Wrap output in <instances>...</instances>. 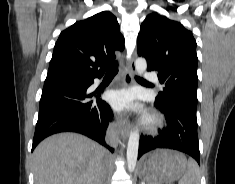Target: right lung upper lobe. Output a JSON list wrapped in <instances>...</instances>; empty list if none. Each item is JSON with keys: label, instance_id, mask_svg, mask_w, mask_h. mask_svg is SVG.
<instances>
[{"label": "right lung upper lobe", "instance_id": "cb5924a9", "mask_svg": "<svg viewBox=\"0 0 235 184\" xmlns=\"http://www.w3.org/2000/svg\"><path fill=\"white\" fill-rule=\"evenodd\" d=\"M123 48L124 37L116 17L108 11L101 12L61 32L47 77L102 76L103 67L115 59V51Z\"/></svg>", "mask_w": 235, "mask_h": 184}]
</instances>
